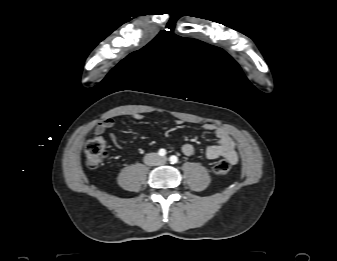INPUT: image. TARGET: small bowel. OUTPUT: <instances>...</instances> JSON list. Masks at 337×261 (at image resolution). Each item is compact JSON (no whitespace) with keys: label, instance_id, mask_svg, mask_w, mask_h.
<instances>
[{"label":"small bowel","instance_id":"small-bowel-1","mask_svg":"<svg viewBox=\"0 0 337 261\" xmlns=\"http://www.w3.org/2000/svg\"><path fill=\"white\" fill-rule=\"evenodd\" d=\"M130 117L134 120H142L144 116L140 113H133ZM115 123L112 117H108L101 121L95 128L97 135H103ZM178 124L183 123L182 120L177 121ZM206 131L213 132L217 137V143L210 145L206 149V157L208 159H217L220 157L225 158L229 163L236 164L238 162V154L236 152L235 142L230 134L222 127H218L212 123H206L203 126ZM113 141H116L115 135H110ZM181 150L184 155L191 156L194 153V147L190 143L182 145Z\"/></svg>","mask_w":337,"mask_h":261}]
</instances>
